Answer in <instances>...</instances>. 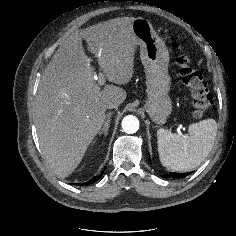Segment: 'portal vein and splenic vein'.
I'll list each match as a JSON object with an SVG mask.
<instances>
[{
	"instance_id": "18ae733b",
	"label": "portal vein and splenic vein",
	"mask_w": 236,
	"mask_h": 236,
	"mask_svg": "<svg viewBox=\"0 0 236 236\" xmlns=\"http://www.w3.org/2000/svg\"><path fill=\"white\" fill-rule=\"evenodd\" d=\"M94 79L98 80L99 85H103L105 83V76L102 72H99L98 75L94 73Z\"/></svg>"
}]
</instances>
